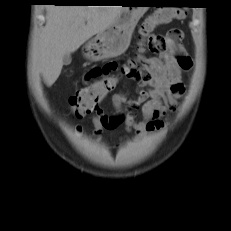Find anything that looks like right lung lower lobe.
<instances>
[{
    "label": "right lung lower lobe",
    "mask_w": 231,
    "mask_h": 231,
    "mask_svg": "<svg viewBox=\"0 0 231 231\" xmlns=\"http://www.w3.org/2000/svg\"><path fill=\"white\" fill-rule=\"evenodd\" d=\"M46 2H53L57 5H74L75 2L73 0H45Z\"/></svg>",
    "instance_id": "98d812e1"
}]
</instances>
